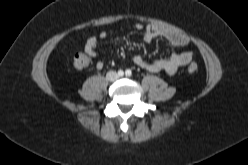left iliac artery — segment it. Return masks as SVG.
<instances>
[{
  "label": "left iliac artery",
  "mask_w": 248,
  "mask_h": 165,
  "mask_svg": "<svg viewBox=\"0 0 248 165\" xmlns=\"http://www.w3.org/2000/svg\"><path fill=\"white\" fill-rule=\"evenodd\" d=\"M125 74H126V76H128V77H129V76H131V75H132V72H131V70H129V69H128V70H126Z\"/></svg>",
  "instance_id": "left-iliac-artery-1"
}]
</instances>
